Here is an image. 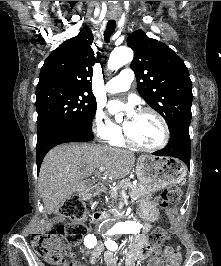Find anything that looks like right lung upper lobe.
I'll return each mask as SVG.
<instances>
[{
  "instance_id": "obj_1",
  "label": "right lung upper lobe",
  "mask_w": 221,
  "mask_h": 266,
  "mask_svg": "<svg viewBox=\"0 0 221 266\" xmlns=\"http://www.w3.org/2000/svg\"><path fill=\"white\" fill-rule=\"evenodd\" d=\"M92 42V32L85 26L77 36L56 48L44 61L37 89L65 88L89 93L92 66L100 63V55H93Z\"/></svg>"
}]
</instances>
